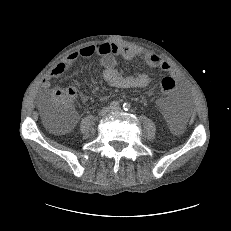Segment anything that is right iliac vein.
<instances>
[{"label": "right iliac vein", "mask_w": 231, "mask_h": 231, "mask_svg": "<svg viewBox=\"0 0 231 231\" xmlns=\"http://www.w3.org/2000/svg\"><path fill=\"white\" fill-rule=\"evenodd\" d=\"M109 111H110L109 108H103V109L99 112V116H105Z\"/></svg>", "instance_id": "right-iliac-vein-1"}]
</instances>
